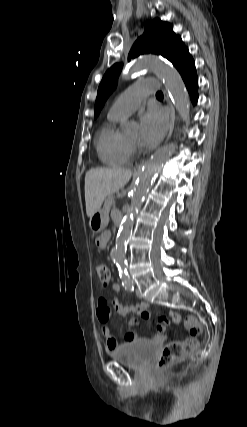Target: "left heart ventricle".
<instances>
[{
  "mask_svg": "<svg viewBox=\"0 0 247 427\" xmlns=\"http://www.w3.org/2000/svg\"><path fill=\"white\" fill-rule=\"evenodd\" d=\"M137 140H138V135L137 134L133 135L132 137H130L128 139V141L131 142V143H136Z\"/></svg>",
  "mask_w": 247,
  "mask_h": 427,
  "instance_id": "1",
  "label": "left heart ventricle"
}]
</instances>
